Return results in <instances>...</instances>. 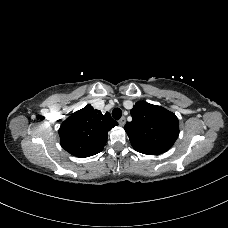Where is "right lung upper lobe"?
Segmentation results:
<instances>
[{"mask_svg": "<svg viewBox=\"0 0 228 228\" xmlns=\"http://www.w3.org/2000/svg\"><path fill=\"white\" fill-rule=\"evenodd\" d=\"M118 125L110 113L87 105L73 113L60 126L59 136L63 149L76 157H89L101 152L108 138V131Z\"/></svg>", "mask_w": 228, "mask_h": 228, "instance_id": "1", "label": "right lung upper lobe"}]
</instances>
